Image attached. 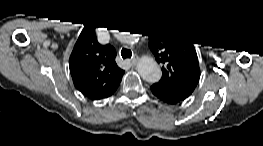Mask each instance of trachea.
Masks as SVG:
<instances>
[{"label":"trachea","instance_id":"3493384b","mask_svg":"<svg viewBox=\"0 0 263 146\" xmlns=\"http://www.w3.org/2000/svg\"><path fill=\"white\" fill-rule=\"evenodd\" d=\"M121 56H122L123 59L131 58L132 52H131V50H129V49L123 48V49L121 50Z\"/></svg>","mask_w":263,"mask_h":146}]
</instances>
